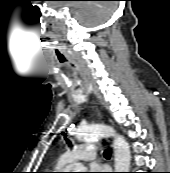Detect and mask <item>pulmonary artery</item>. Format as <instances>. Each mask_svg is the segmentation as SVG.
Listing matches in <instances>:
<instances>
[{"instance_id":"pulmonary-artery-1","label":"pulmonary artery","mask_w":170,"mask_h":173,"mask_svg":"<svg viewBox=\"0 0 170 173\" xmlns=\"http://www.w3.org/2000/svg\"><path fill=\"white\" fill-rule=\"evenodd\" d=\"M97 156V147L93 143L76 145L73 149L62 155L65 164L77 161H91Z\"/></svg>"}]
</instances>
